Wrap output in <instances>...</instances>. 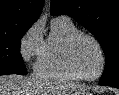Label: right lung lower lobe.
Here are the masks:
<instances>
[{
    "label": "right lung lower lobe",
    "instance_id": "right-lung-lower-lobe-1",
    "mask_svg": "<svg viewBox=\"0 0 119 95\" xmlns=\"http://www.w3.org/2000/svg\"><path fill=\"white\" fill-rule=\"evenodd\" d=\"M5 74H10V73H7V72H0V75H5Z\"/></svg>",
    "mask_w": 119,
    "mask_h": 95
}]
</instances>
